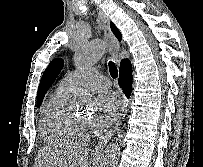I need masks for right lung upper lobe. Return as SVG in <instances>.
Here are the masks:
<instances>
[{
    "label": "right lung upper lobe",
    "instance_id": "right-lung-upper-lobe-1",
    "mask_svg": "<svg viewBox=\"0 0 203 167\" xmlns=\"http://www.w3.org/2000/svg\"><path fill=\"white\" fill-rule=\"evenodd\" d=\"M110 26H111V30H112L113 34L120 41L121 38H122V35H121L120 31L117 29V27L112 22L110 23Z\"/></svg>",
    "mask_w": 203,
    "mask_h": 167
}]
</instances>
